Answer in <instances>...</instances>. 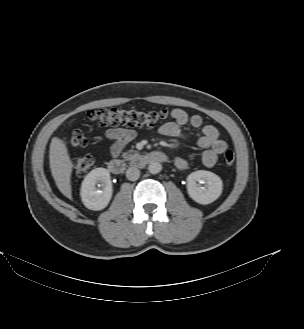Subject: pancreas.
Instances as JSON below:
<instances>
[{"mask_svg": "<svg viewBox=\"0 0 304 329\" xmlns=\"http://www.w3.org/2000/svg\"><path fill=\"white\" fill-rule=\"evenodd\" d=\"M131 152H132V151H128V152L123 153L122 157H123L125 160H132V159L134 158L135 155H132Z\"/></svg>", "mask_w": 304, "mask_h": 329, "instance_id": "pancreas-1", "label": "pancreas"}]
</instances>
